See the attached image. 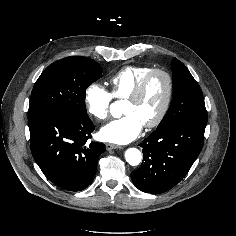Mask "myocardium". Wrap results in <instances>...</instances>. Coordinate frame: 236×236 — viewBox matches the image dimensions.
I'll return each mask as SVG.
<instances>
[{"label":"myocardium","instance_id":"1","mask_svg":"<svg viewBox=\"0 0 236 236\" xmlns=\"http://www.w3.org/2000/svg\"><path fill=\"white\" fill-rule=\"evenodd\" d=\"M156 74L162 75L166 80V95L158 115L152 121L144 124L147 128H154L158 126L163 121L170 108L174 91V83L171 74L163 68H154L150 70L144 75L132 93L126 98L129 101L138 100L143 95L150 79Z\"/></svg>","mask_w":236,"mask_h":236}]
</instances>
